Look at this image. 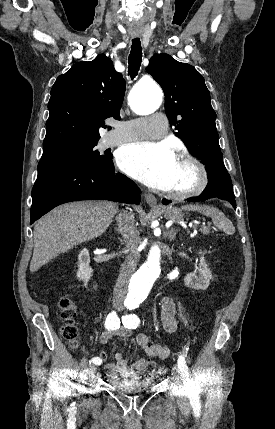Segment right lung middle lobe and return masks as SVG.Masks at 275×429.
I'll return each mask as SVG.
<instances>
[{
    "mask_svg": "<svg viewBox=\"0 0 275 429\" xmlns=\"http://www.w3.org/2000/svg\"><path fill=\"white\" fill-rule=\"evenodd\" d=\"M91 144L73 145L56 153L42 156L38 164V177L53 171L69 168H91L112 164L111 154H100Z\"/></svg>",
    "mask_w": 275,
    "mask_h": 429,
    "instance_id": "1",
    "label": "right lung middle lobe"
}]
</instances>
